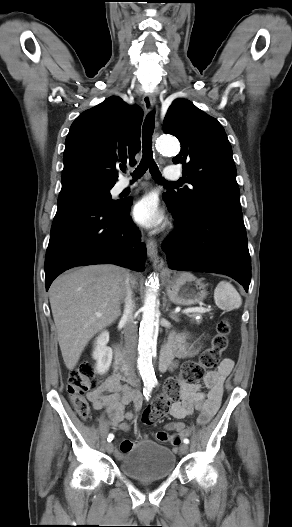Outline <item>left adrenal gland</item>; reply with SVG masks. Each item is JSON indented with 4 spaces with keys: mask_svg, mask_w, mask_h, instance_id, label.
<instances>
[{
    "mask_svg": "<svg viewBox=\"0 0 292 527\" xmlns=\"http://www.w3.org/2000/svg\"><path fill=\"white\" fill-rule=\"evenodd\" d=\"M170 318L173 319V320L176 321V322H179V318H178V316H177L174 312H172V313L170 314Z\"/></svg>",
    "mask_w": 292,
    "mask_h": 527,
    "instance_id": "left-adrenal-gland-1",
    "label": "left adrenal gland"
}]
</instances>
